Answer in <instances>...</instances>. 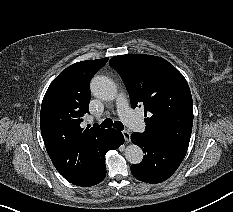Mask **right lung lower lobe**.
Masks as SVG:
<instances>
[{"label":"right lung lower lobe","mask_w":233,"mask_h":212,"mask_svg":"<svg viewBox=\"0 0 233 212\" xmlns=\"http://www.w3.org/2000/svg\"><path fill=\"white\" fill-rule=\"evenodd\" d=\"M123 143L124 137L122 133L115 129H109L106 138L96 152L90 171L71 183L83 187L93 186L100 183L106 176V166L104 161L106 152L111 149H117Z\"/></svg>","instance_id":"right-lung-lower-lobe-1"}]
</instances>
